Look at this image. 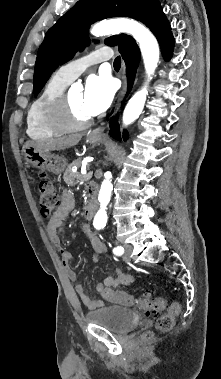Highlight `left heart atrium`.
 Instances as JSON below:
<instances>
[{"instance_id": "1", "label": "left heart atrium", "mask_w": 221, "mask_h": 379, "mask_svg": "<svg viewBox=\"0 0 221 379\" xmlns=\"http://www.w3.org/2000/svg\"><path fill=\"white\" fill-rule=\"evenodd\" d=\"M115 86L106 75H90L83 93V108L90 116L105 111L111 104Z\"/></svg>"}]
</instances>
